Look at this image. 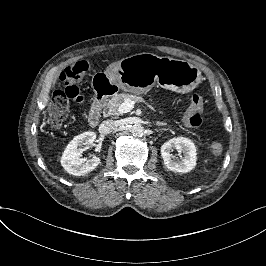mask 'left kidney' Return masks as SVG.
Instances as JSON below:
<instances>
[{"mask_svg": "<svg viewBox=\"0 0 266 266\" xmlns=\"http://www.w3.org/2000/svg\"><path fill=\"white\" fill-rule=\"evenodd\" d=\"M177 151V156H172L171 151ZM161 155L166 167L180 174L187 173L195 167L196 147L187 138H173L161 146Z\"/></svg>", "mask_w": 266, "mask_h": 266, "instance_id": "left-kidney-1", "label": "left kidney"}]
</instances>
